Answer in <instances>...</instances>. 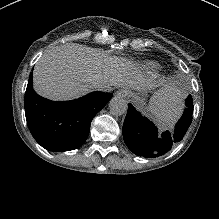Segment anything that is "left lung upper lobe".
<instances>
[{
	"mask_svg": "<svg viewBox=\"0 0 219 219\" xmlns=\"http://www.w3.org/2000/svg\"><path fill=\"white\" fill-rule=\"evenodd\" d=\"M186 104H192V98L191 96H189L187 99H186Z\"/></svg>",
	"mask_w": 219,
	"mask_h": 219,
	"instance_id": "1",
	"label": "left lung upper lobe"
}]
</instances>
